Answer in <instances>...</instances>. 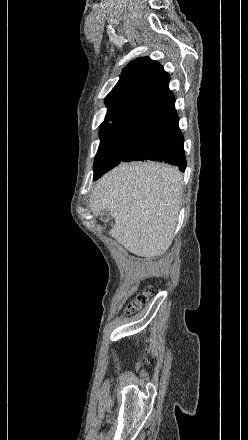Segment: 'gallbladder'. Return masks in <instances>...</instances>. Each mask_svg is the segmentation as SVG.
<instances>
[{
	"label": "gallbladder",
	"mask_w": 248,
	"mask_h": 440,
	"mask_svg": "<svg viewBox=\"0 0 248 440\" xmlns=\"http://www.w3.org/2000/svg\"><path fill=\"white\" fill-rule=\"evenodd\" d=\"M111 214H110V212H109V210L108 209H104L102 212H101V220L102 221H104V222H107V221H109L110 219H111Z\"/></svg>",
	"instance_id": "obj_1"
}]
</instances>
